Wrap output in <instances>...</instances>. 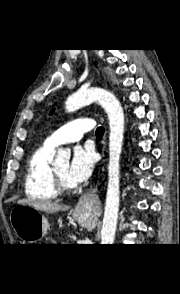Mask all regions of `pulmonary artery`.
Wrapping results in <instances>:
<instances>
[{"label": "pulmonary artery", "instance_id": "1", "mask_svg": "<svg viewBox=\"0 0 180 294\" xmlns=\"http://www.w3.org/2000/svg\"><path fill=\"white\" fill-rule=\"evenodd\" d=\"M94 126V120L91 118H80L66 123L52 133L45 141L50 147H57L64 143L79 141L85 132L91 130Z\"/></svg>", "mask_w": 180, "mask_h": 294}]
</instances>
